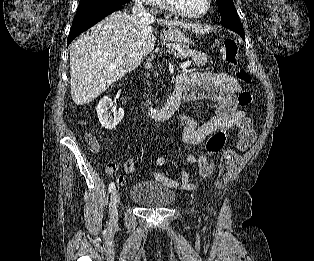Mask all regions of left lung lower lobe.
Instances as JSON below:
<instances>
[{
    "mask_svg": "<svg viewBox=\"0 0 314 261\" xmlns=\"http://www.w3.org/2000/svg\"><path fill=\"white\" fill-rule=\"evenodd\" d=\"M242 38H243V40H245V33L243 32V33H238Z\"/></svg>",
    "mask_w": 314,
    "mask_h": 261,
    "instance_id": "obj_1",
    "label": "left lung lower lobe"
}]
</instances>
